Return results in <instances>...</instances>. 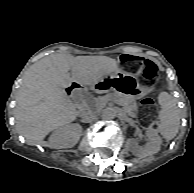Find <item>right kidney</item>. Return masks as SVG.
Masks as SVG:
<instances>
[{
    "label": "right kidney",
    "mask_w": 194,
    "mask_h": 193,
    "mask_svg": "<svg viewBox=\"0 0 194 193\" xmlns=\"http://www.w3.org/2000/svg\"><path fill=\"white\" fill-rule=\"evenodd\" d=\"M82 128L78 124H66L56 129L49 137L48 145L51 148H71L78 142Z\"/></svg>",
    "instance_id": "1"
}]
</instances>
